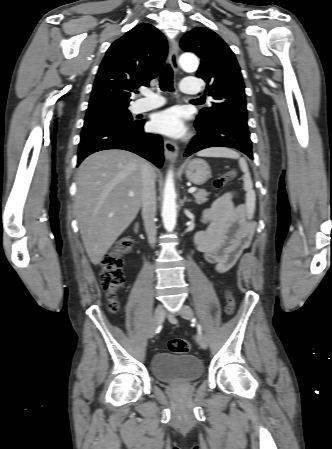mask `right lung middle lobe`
<instances>
[{
  "label": "right lung middle lobe",
  "instance_id": "obj_1",
  "mask_svg": "<svg viewBox=\"0 0 332 449\" xmlns=\"http://www.w3.org/2000/svg\"><path fill=\"white\" fill-rule=\"evenodd\" d=\"M136 121L133 120L127 108L104 109L88 112L85 117L84 129L97 126H130Z\"/></svg>",
  "mask_w": 332,
  "mask_h": 449
}]
</instances>
